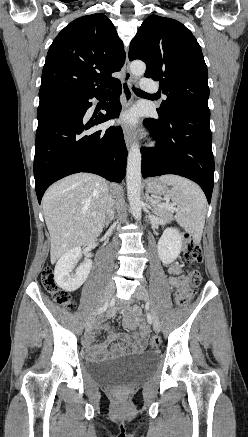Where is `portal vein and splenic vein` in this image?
I'll return each mask as SVG.
<instances>
[{
  "instance_id": "18ae733b",
  "label": "portal vein and splenic vein",
  "mask_w": 248,
  "mask_h": 437,
  "mask_svg": "<svg viewBox=\"0 0 248 437\" xmlns=\"http://www.w3.org/2000/svg\"><path fill=\"white\" fill-rule=\"evenodd\" d=\"M158 206L163 207V208H167V209L174 210L173 208H171V207H169L168 205H165V204H161V205H158ZM92 215L95 216V214H92Z\"/></svg>"
}]
</instances>
